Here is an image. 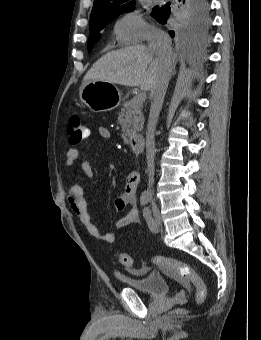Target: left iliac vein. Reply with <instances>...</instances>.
Instances as JSON below:
<instances>
[{
    "mask_svg": "<svg viewBox=\"0 0 261 340\" xmlns=\"http://www.w3.org/2000/svg\"><path fill=\"white\" fill-rule=\"evenodd\" d=\"M153 216L155 222V229L153 231L158 232L160 230L161 225V216L157 207L153 208Z\"/></svg>",
    "mask_w": 261,
    "mask_h": 340,
    "instance_id": "left-iliac-vein-1",
    "label": "left iliac vein"
}]
</instances>
